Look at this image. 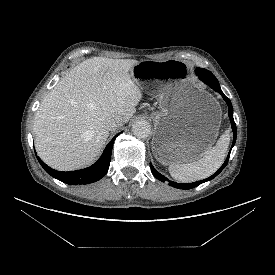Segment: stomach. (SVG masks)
<instances>
[{
	"mask_svg": "<svg viewBox=\"0 0 275 275\" xmlns=\"http://www.w3.org/2000/svg\"><path fill=\"white\" fill-rule=\"evenodd\" d=\"M189 70L180 60H142L131 69L138 86L150 84L156 89L160 111L151 115L155 123L152 151L164 165L200 159L218 136L220 106L195 86Z\"/></svg>",
	"mask_w": 275,
	"mask_h": 275,
	"instance_id": "obj_1",
	"label": "stomach"
}]
</instances>
